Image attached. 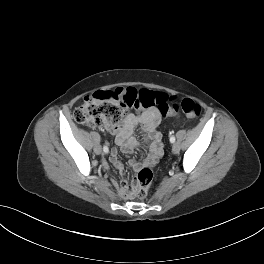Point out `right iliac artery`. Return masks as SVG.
Returning a JSON list of instances; mask_svg holds the SVG:
<instances>
[{"mask_svg": "<svg viewBox=\"0 0 264 264\" xmlns=\"http://www.w3.org/2000/svg\"><path fill=\"white\" fill-rule=\"evenodd\" d=\"M103 151H104L105 153H108V152H109L108 147H107V146H104V147H103Z\"/></svg>", "mask_w": 264, "mask_h": 264, "instance_id": "1", "label": "right iliac artery"}]
</instances>
